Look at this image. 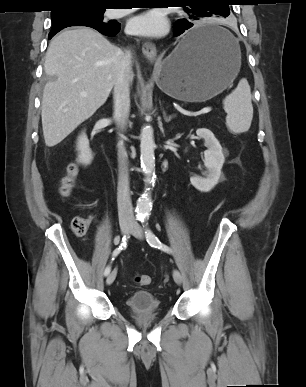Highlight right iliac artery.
Instances as JSON below:
<instances>
[{"mask_svg": "<svg viewBox=\"0 0 306 387\" xmlns=\"http://www.w3.org/2000/svg\"><path fill=\"white\" fill-rule=\"evenodd\" d=\"M127 239L128 237H123L121 245L113 251L112 260H114V258L123 250V248L126 247ZM110 271H111V266L108 265L105 268L104 275L107 276L110 273Z\"/></svg>", "mask_w": 306, "mask_h": 387, "instance_id": "obj_1", "label": "right iliac artery"}]
</instances>
